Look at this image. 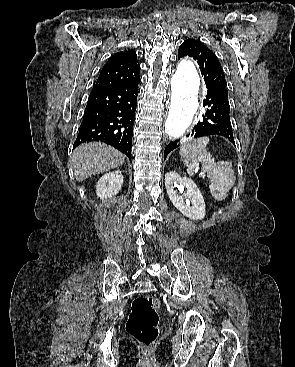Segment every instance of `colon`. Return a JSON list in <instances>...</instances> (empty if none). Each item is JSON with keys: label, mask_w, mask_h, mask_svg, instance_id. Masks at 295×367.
Listing matches in <instances>:
<instances>
[{"label": "colon", "mask_w": 295, "mask_h": 367, "mask_svg": "<svg viewBox=\"0 0 295 367\" xmlns=\"http://www.w3.org/2000/svg\"><path fill=\"white\" fill-rule=\"evenodd\" d=\"M159 300L151 295L136 297L126 322V331L146 349L159 335Z\"/></svg>", "instance_id": "obj_1"}]
</instances>
